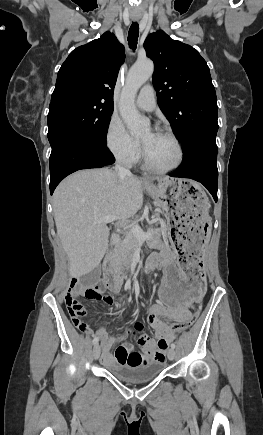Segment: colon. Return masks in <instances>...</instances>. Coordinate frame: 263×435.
<instances>
[{"label":"colon","mask_w":263,"mask_h":435,"mask_svg":"<svg viewBox=\"0 0 263 435\" xmlns=\"http://www.w3.org/2000/svg\"><path fill=\"white\" fill-rule=\"evenodd\" d=\"M84 294L86 298L95 301H103L110 302L112 298L108 295H104L101 291L100 286L98 285H84L77 280H73L70 284L69 292L65 297V303L70 317L74 325L80 329L81 331H87L86 324L81 320V318L85 314V309L78 298L75 296V293ZM200 313V305H196L194 308V313L190 317V319L186 322L182 321H171L170 328L171 329H187L192 323L198 318ZM157 340H155L156 343ZM162 341V339L160 340Z\"/></svg>","instance_id":"5ec220e1"}]
</instances>
